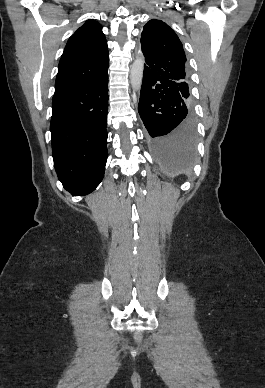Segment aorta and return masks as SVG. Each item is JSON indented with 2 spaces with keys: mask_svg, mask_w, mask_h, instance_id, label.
<instances>
[{
  "mask_svg": "<svg viewBox=\"0 0 265 388\" xmlns=\"http://www.w3.org/2000/svg\"><path fill=\"white\" fill-rule=\"evenodd\" d=\"M144 72V60L142 58H137L132 66L130 73V82L132 88L136 91H140Z\"/></svg>",
  "mask_w": 265,
  "mask_h": 388,
  "instance_id": "762f6f07",
  "label": "aorta"
}]
</instances>
